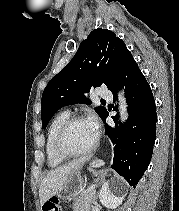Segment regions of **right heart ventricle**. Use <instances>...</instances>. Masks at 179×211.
I'll return each mask as SVG.
<instances>
[{"mask_svg": "<svg viewBox=\"0 0 179 211\" xmlns=\"http://www.w3.org/2000/svg\"><path fill=\"white\" fill-rule=\"evenodd\" d=\"M69 117V112H61L52 119L48 126L45 141V156L47 165L50 168H57L65 161V159L60 157L56 152L55 141L60 127Z\"/></svg>", "mask_w": 179, "mask_h": 211, "instance_id": "right-heart-ventricle-1", "label": "right heart ventricle"}]
</instances>
